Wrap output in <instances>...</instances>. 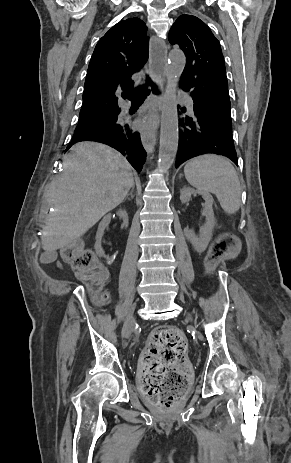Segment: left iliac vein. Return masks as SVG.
<instances>
[{
	"label": "left iliac vein",
	"mask_w": 291,
	"mask_h": 463,
	"mask_svg": "<svg viewBox=\"0 0 291 463\" xmlns=\"http://www.w3.org/2000/svg\"><path fill=\"white\" fill-rule=\"evenodd\" d=\"M187 316H188V318H189L190 320L192 319V317H191V315H190V314H187Z\"/></svg>",
	"instance_id": "1"
}]
</instances>
